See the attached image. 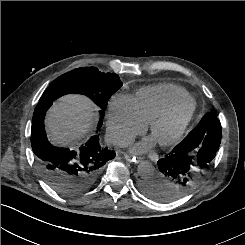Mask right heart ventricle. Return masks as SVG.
Masks as SVG:
<instances>
[{
	"mask_svg": "<svg viewBox=\"0 0 245 245\" xmlns=\"http://www.w3.org/2000/svg\"><path fill=\"white\" fill-rule=\"evenodd\" d=\"M189 97V92L184 88L165 83L142 87L133 99L141 119L148 123L171 105Z\"/></svg>",
	"mask_w": 245,
	"mask_h": 245,
	"instance_id": "right-heart-ventricle-1",
	"label": "right heart ventricle"
}]
</instances>
